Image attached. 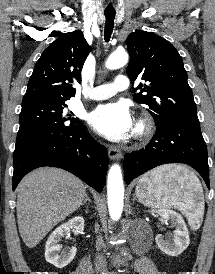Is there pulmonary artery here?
Masks as SVG:
<instances>
[{
	"label": "pulmonary artery",
	"mask_w": 215,
	"mask_h": 274,
	"mask_svg": "<svg viewBox=\"0 0 215 274\" xmlns=\"http://www.w3.org/2000/svg\"><path fill=\"white\" fill-rule=\"evenodd\" d=\"M129 86V79L125 75H117L112 83L103 84L93 88L89 92V98L92 100L107 99L118 91L127 89Z\"/></svg>",
	"instance_id": "obj_1"
}]
</instances>
